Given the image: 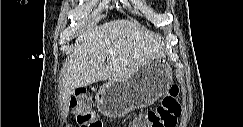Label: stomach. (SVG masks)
Listing matches in <instances>:
<instances>
[{"mask_svg":"<svg viewBox=\"0 0 243 127\" xmlns=\"http://www.w3.org/2000/svg\"><path fill=\"white\" fill-rule=\"evenodd\" d=\"M172 80L171 66L162 56L153 57L124 80L103 84L95 96L98 111L110 118L147 107L165 95Z\"/></svg>","mask_w":243,"mask_h":127,"instance_id":"0dacf381","label":"stomach"}]
</instances>
